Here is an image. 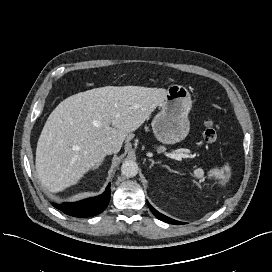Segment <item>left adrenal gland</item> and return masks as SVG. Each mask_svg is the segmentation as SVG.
<instances>
[{
	"instance_id": "a2214340",
	"label": "left adrenal gland",
	"mask_w": 272,
	"mask_h": 272,
	"mask_svg": "<svg viewBox=\"0 0 272 272\" xmlns=\"http://www.w3.org/2000/svg\"><path fill=\"white\" fill-rule=\"evenodd\" d=\"M149 161L151 162L150 168L153 167L154 164H161V162H155L153 159H149Z\"/></svg>"
}]
</instances>
